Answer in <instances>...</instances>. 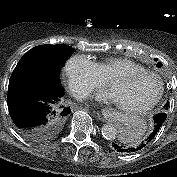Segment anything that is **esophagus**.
<instances>
[{
	"instance_id": "34e87169",
	"label": "esophagus",
	"mask_w": 177,
	"mask_h": 177,
	"mask_svg": "<svg viewBox=\"0 0 177 177\" xmlns=\"http://www.w3.org/2000/svg\"><path fill=\"white\" fill-rule=\"evenodd\" d=\"M110 114L111 112L109 110H106V109L102 110V115L104 118H107Z\"/></svg>"
}]
</instances>
